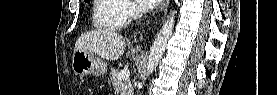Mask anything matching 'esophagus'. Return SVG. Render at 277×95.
Wrapping results in <instances>:
<instances>
[{
	"instance_id": "obj_1",
	"label": "esophagus",
	"mask_w": 277,
	"mask_h": 95,
	"mask_svg": "<svg viewBox=\"0 0 277 95\" xmlns=\"http://www.w3.org/2000/svg\"><path fill=\"white\" fill-rule=\"evenodd\" d=\"M169 5V0H163L159 6L161 11H166Z\"/></svg>"
}]
</instances>
